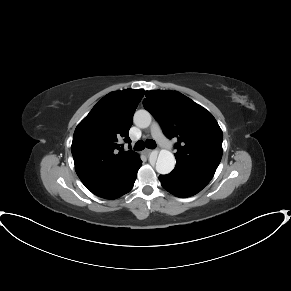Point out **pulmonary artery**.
Returning a JSON list of instances; mask_svg holds the SVG:
<instances>
[{"mask_svg":"<svg viewBox=\"0 0 291 291\" xmlns=\"http://www.w3.org/2000/svg\"><path fill=\"white\" fill-rule=\"evenodd\" d=\"M151 135L154 139H156L161 145L168 149H173L175 144L172 140L166 138L161 130V127L157 121H154L151 125Z\"/></svg>","mask_w":291,"mask_h":291,"instance_id":"pulmonary-artery-1","label":"pulmonary artery"}]
</instances>
